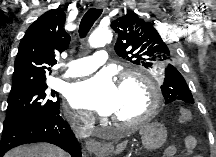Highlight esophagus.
Wrapping results in <instances>:
<instances>
[{
	"label": "esophagus",
	"instance_id": "obj_1",
	"mask_svg": "<svg viewBox=\"0 0 216 157\" xmlns=\"http://www.w3.org/2000/svg\"><path fill=\"white\" fill-rule=\"evenodd\" d=\"M94 6L97 7V8H102L105 6V1L103 0H98L94 3ZM86 145L88 147V149L90 151H94V152H98V151H104L106 150V146L97 142L96 140L94 139H89L86 141Z\"/></svg>",
	"mask_w": 216,
	"mask_h": 157
}]
</instances>
